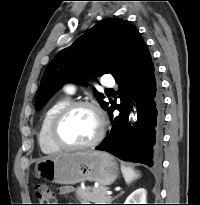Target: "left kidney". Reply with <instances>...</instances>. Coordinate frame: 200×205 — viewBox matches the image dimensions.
I'll use <instances>...</instances> for the list:
<instances>
[{
    "instance_id": "obj_1",
    "label": "left kidney",
    "mask_w": 200,
    "mask_h": 205,
    "mask_svg": "<svg viewBox=\"0 0 200 205\" xmlns=\"http://www.w3.org/2000/svg\"><path fill=\"white\" fill-rule=\"evenodd\" d=\"M146 195L144 188H138L127 197L124 204H146Z\"/></svg>"
}]
</instances>
